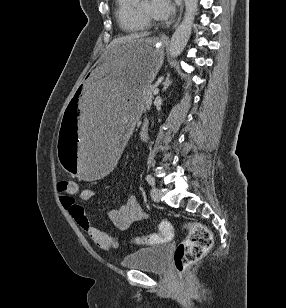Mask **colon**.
<instances>
[{
    "label": "colon",
    "mask_w": 286,
    "mask_h": 308,
    "mask_svg": "<svg viewBox=\"0 0 286 308\" xmlns=\"http://www.w3.org/2000/svg\"><path fill=\"white\" fill-rule=\"evenodd\" d=\"M58 191L73 199L77 192V183L72 180H61L57 184ZM188 230L187 238L182 241L174 253V265L180 275L199 260L212 246L213 236L211 231L201 223L190 222L185 224ZM173 228L170 223L163 221L159 225V233L138 237L134 240L137 244L155 245L171 240Z\"/></svg>",
    "instance_id": "colon-1"
}]
</instances>
